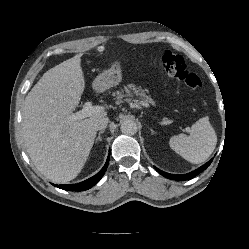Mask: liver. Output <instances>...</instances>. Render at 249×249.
<instances>
[{
  "label": "liver",
  "mask_w": 249,
  "mask_h": 249,
  "mask_svg": "<svg viewBox=\"0 0 249 249\" xmlns=\"http://www.w3.org/2000/svg\"><path fill=\"white\" fill-rule=\"evenodd\" d=\"M80 54L49 69L25 98L22 134L32 162L47 179L64 183L85 165L96 137L94 122L106 112L89 118L69 119L85 89Z\"/></svg>",
  "instance_id": "1"
}]
</instances>
